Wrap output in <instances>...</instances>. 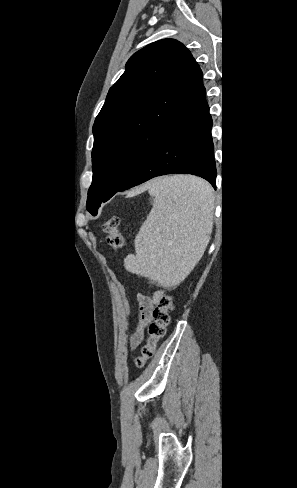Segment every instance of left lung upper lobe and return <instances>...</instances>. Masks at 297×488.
Listing matches in <instances>:
<instances>
[{
    "label": "left lung upper lobe",
    "instance_id": "left-lung-upper-lobe-1",
    "mask_svg": "<svg viewBox=\"0 0 297 488\" xmlns=\"http://www.w3.org/2000/svg\"><path fill=\"white\" fill-rule=\"evenodd\" d=\"M207 106L202 71L181 42L163 39L133 54L93 125L86 209L96 215L169 135Z\"/></svg>",
    "mask_w": 297,
    "mask_h": 488
}]
</instances>
